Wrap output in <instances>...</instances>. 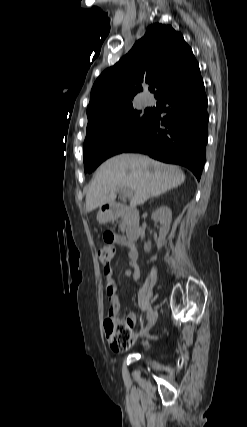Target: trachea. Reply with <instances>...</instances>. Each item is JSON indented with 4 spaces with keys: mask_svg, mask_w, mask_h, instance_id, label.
<instances>
[{
    "mask_svg": "<svg viewBox=\"0 0 247 427\" xmlns=\"http://www.w3.org/2000/svg\"><path fill=\"white\" fill-rule=\"evenodd\" d=\"M150 91H151V92H154V88H151V89H150Z\"/></svg>",
    "mask_w": 247,
    "mask_h": 427,
    "instance_id": "obj_1",
    "label": "trachea"
}]
</instances>
